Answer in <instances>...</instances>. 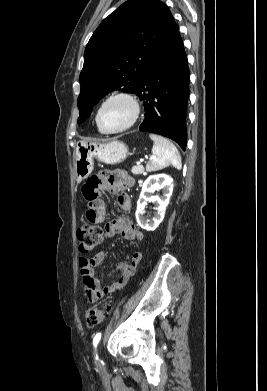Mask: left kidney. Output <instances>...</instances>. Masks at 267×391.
Instances as JSON below:
<instances>
[{
    "label": "left kidney",
    "instance_id": "5707ae66",
    "mask_svg": "<svg viewBox=\"0 0 267 391\" xmlns=\"http://www.w3.org/2000/svg\"><path fill=\"white\" fill-rule=\"evenodd\" d=\"M162 190L163 195L152 196L155 191ZM173 192V179L165 174H157L149 176L142 185V191L137 201L136 220L138 225L147 230L154 231L163 221L166 207L169 204L170 197ZM147 201L157 204L155 216L149 220L143 215L145 213V205Z\"/></svg>",
    "mask_w": 267,
    "mask_h": 391
}]
</instances>
